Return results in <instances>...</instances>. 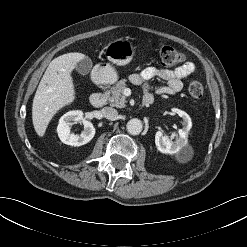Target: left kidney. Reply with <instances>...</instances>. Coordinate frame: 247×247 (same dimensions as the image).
<instances>
[{
  "instance_id": "obj_1",
  "label": "left kidney",
  "mask_w": 247,
  "mask_h": 247,
  "mask_svg": "<svg viewBox=\"0 0 247 247\" xmlns=\"http://www.w3.org/2000/svg\"><path fill=\"white\" fill-rule=\"evenodd\" d=\"M173 111L183 119V128L179 130V139L175 142L169 140L161 131L156 132L155 144L158 151L163 154L173 155L185 148L188 144V134L192 127L191 118L186 112L179 109H174Z\"/></svg>"
}]
</instances>
